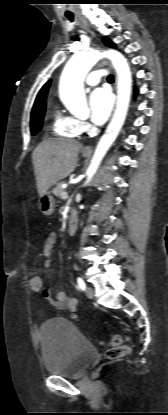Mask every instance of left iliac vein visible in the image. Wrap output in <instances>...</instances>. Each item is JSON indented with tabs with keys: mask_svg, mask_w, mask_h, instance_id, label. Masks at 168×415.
Returning a JSON list of instances; mask_svg holds the SVG:
<instances>
[{
	"mask_svg": "<svg viewBox=\"0 0 168 415\" xmlns=\"http://www.w3.org/2000/svg\"><path fill=\"white\" fill-rule=\"evenodd\" d=\"M86 296L88 298H92L94 296V290H93L92 287H90V286L86 287Z\"/></svg>",
	"mask_w": 168,
	"mask_h": 415,
	"instance_id": "obj_1",
	"label": "left iliac vein"
}]
</instances>
